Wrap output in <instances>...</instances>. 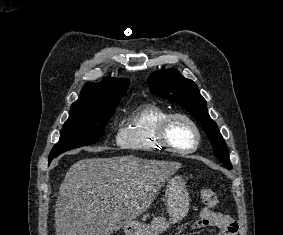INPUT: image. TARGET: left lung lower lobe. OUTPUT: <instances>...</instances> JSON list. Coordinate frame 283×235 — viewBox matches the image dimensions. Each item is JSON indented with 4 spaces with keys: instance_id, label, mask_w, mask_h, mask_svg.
Returning <instances> with one entry per match:
<instances>
[{
    "instance_id": "0a47b994",
    "label": "left lung lower lobe",
    "mask_w": 283,
    "mask_h": 235,
    "mask_svg": "<svg viewBox=\"0 0 283 235\" xmlns=\"http://www.w3.org/2000/svg\"><path fill=\"white\" fill-rule=\"evenodd\" d=\"M225 166H226V168L228 169V170H231L232 169V165L231 164H224Z\"/></svg>"
}]
</instances>
